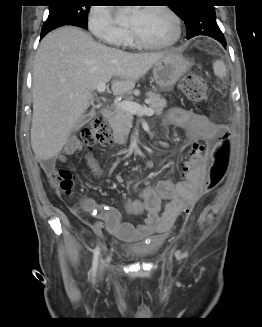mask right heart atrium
<instances>
[{"mask_svg":"<svg viewBox=\"0 0 262 327\" xmlns=\"http://www.w3.org/2000/svg\"><path fill=\"white\" fill-rule=\"evenodd\" d=\"M87 26L96 39L107 45L122 47L129 37V32L115 22L111 9L105 5L91 7Z\"/></svg>","mask_w":262,"mask_h":327,"instance_id":"d8ad5b80","label":"right heart atrium"}]
</instances>
